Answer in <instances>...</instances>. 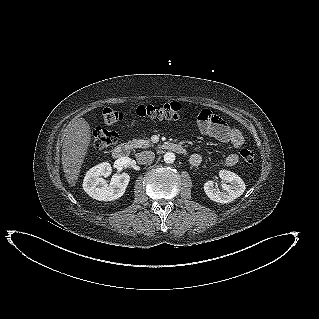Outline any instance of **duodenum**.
<instances>
[{
	"mask_svg": "<svg viewBox=\"0 0 319 319\" xmlns=\"http://www.w3.org/2000/svg\"><path fill=\"white\" fill-rule=\"evenodd\" d=\"M162 148L164 150L173 151V152H176V153H179V154H183V153L186 152L185 148L182 145H180L178 143H174V142L164 143L162 145ZM129 150H130L129 144L121 143V144L117 145L113 149L112 156H113L114 159L125 158L126 156H128Z\"/></svg>",
	"mask_w": 319,
	"mask_h": 319,
	"instance_id": "obj_1",
	"label": "duodenum"
}]
</instances>
